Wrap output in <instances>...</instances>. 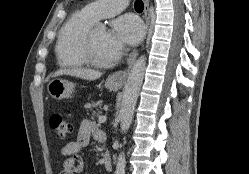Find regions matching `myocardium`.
Wrapping results in <instances>:
<instances>
[{
    "mask_svg": "<svg viewBox=\"0 0 249 174\" xmlns=\"http://www.w3.org/2000/svg\"><path fill=\"white\" fill-rule=\"evenodd\" d=\"M92 33L93 30H89L84 39L83 55L86 61L95 67L105 68L111 66L112 62H103L94 55Z\"/></svg>",
    "mask_w": 249,
    "mask_h": 174,
    "instance_id": "myocardium-1",
    "label": "myocardium"
}]
</instances>
